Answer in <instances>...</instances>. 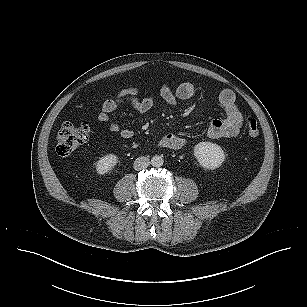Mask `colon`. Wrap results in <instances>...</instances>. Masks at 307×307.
I'll return each instance as SVG.
<instances>
[{
	"mask_svg": "<svg viewBox=\"0 0 307 307\" xmlns=\"http://www.w3.org/2000/svg\"><path fill=\"white\" fill-rule=\"evenodd\" d=\"M246 131L250 137L259 135L258 121L253 116L246 118ZM90 127L88 123L80 124L64 123L57 136V151L60 155L65 156L76 150L88 139Z\"/></svg>",
	"mask_w": 307,
	"mask_h": 307,
	"instance_id": "obj_1",
	"label": "colon"
}]
</instances>
